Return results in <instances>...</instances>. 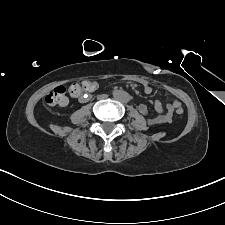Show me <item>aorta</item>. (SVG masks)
<instances>
[{
  "label": "aorta",
  "instance_id": "obj_1",
  "mask_svg": "<svg viewBox=\"0 0 225 225\" xmlns=\"http://www.w3.org/2000/svg\"><path fill=\"white\" fill-rule=\"evenodd\" d=\"M114 97L121 102H128L130 95L126 91L117 90L113 93Z\"/></svg>",
  "mask_w": 225,
  "mask_h": 225
}]
</instances>
